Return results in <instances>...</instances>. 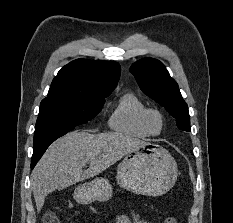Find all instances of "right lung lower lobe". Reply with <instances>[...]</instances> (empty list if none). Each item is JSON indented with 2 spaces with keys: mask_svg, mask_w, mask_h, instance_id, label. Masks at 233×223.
Here are the masks:
<instances>
[{
  "mask_svg": "<svg viewBox=\"0 0 233 223\" xmlns=\"http://www.w3.org/2000/svg\"><path fill=\"white\" fill-rule=\"evenodd\" d=\"M44 152H41V153H38V154H35V155L32 156V159H31V168L32 169L34 168V166L36 165V163L39 161V159L41 158V156L44 154Z\"/></svg>",
  "mask_w": 233,
  "mask_h": 223,
  "instance_id": "1",
  "label": "right lung lower lobe"
}]
</instances>
